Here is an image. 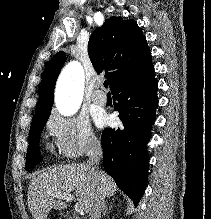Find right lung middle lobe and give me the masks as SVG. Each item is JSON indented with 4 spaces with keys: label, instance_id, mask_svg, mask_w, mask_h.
<instances>
[{
    "label": "right lung middle lobe",
    "instance_id": "1",
    "mask_svg": "<svg viewBox=\"0 0 211 219\" xmlns=\"http://www.w3.org/2000/svg\"><path fill=\"white\" fill-rule=\"evenodd\" d=\"M50 113L35 116L31 123V128L29 132V147L26 156V170L34 167L37 163L42 160L39 151V139L41 131L49 117Z\"/></svg>",
    "mask_w": 211,
    "mask_h": 219
}]
</instances>
